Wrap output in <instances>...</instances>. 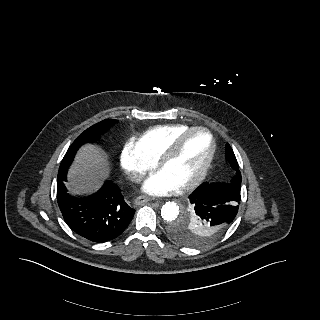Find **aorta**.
<instances>
[{"instance_id": "1", "label": "aorta", "mask_w": 320, "mask_h": 320, "mask_svg": "<svg viewBox=\"0 0 320 320\" xmlns=\"http://www.w3.org/2000/svg\"><path fill=\"white\" fill-rule=\"evenodd\" d=\"M179 214V206L175 202H166L161 208V216L167 221H174Z\"/></svg>"}]
</instances>
